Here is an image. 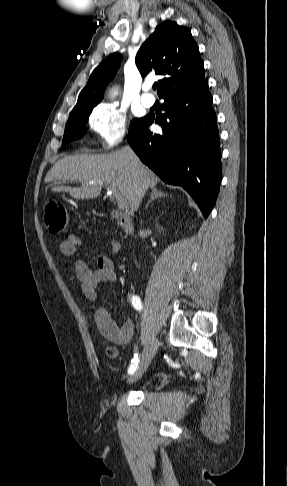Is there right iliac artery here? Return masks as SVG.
Here are the masks:
<instances>
[{"mask_svg":"<svg viewBox=\"0 0 287 486\" xmlns=\"http://www.w3.org/2000/svg\"><path fill=\"white\" fill-rule=\"evenodd\" d=\"M131 303H132V306L136 309V310H141L142 309V304H141V301H140V298L136 295H133L131 297ZM138 364H139V356L137 353L134 354V358L132 359L131 361V364L128 368V373L129 374H133L137 369H138Z\"/></svg>","mask_w":287,"mask_h":486,"instance_id":"1","label":"right iliac artery"}]
</instances>
